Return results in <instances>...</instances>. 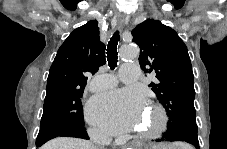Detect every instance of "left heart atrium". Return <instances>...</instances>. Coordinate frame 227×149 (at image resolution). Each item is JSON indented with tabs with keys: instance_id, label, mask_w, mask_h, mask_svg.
<instances>
[{
	"instance_id": "39dd6f15",
	"label": "left heart atrium",
	"mask_w": 227,
	"mask_h": 149,
	"mask_svg": "<svg viewBox=\"0 0 227 149\" xmlns=\"http://www.w3.org/2000/svg\"><path fill=\"white\" fill-rule=\"evenodd\" d=\"M142 93L133 89L115 90L93 96L86 107L89 122L111 134L135 128L144 111Z\"/></svg>"
}]
</instances>
